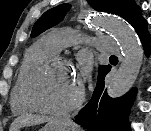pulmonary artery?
Segmentation results:
<instances>
[{"label":"pulmonary artery","instance_id":"obj_1","mask_svg":"<svg viewBox=\"0 0 151 131\" xmlns=\"http://www.w3.org/2000/svg\"><path fill=\"white\" fill-rule=\"evenodd\" d=\"M45 39L56 52L61 51L65 47L85 40V38L79 33L69 29H54L46 35ZM93 43L98 49L102 51L108 53L115 51L114 41L110 37H97L93 40Z\"/></svg>","mask_w":151,"mask_h":131}]
</instances>
